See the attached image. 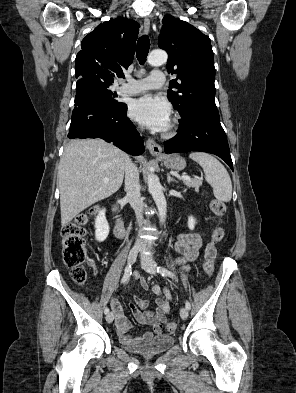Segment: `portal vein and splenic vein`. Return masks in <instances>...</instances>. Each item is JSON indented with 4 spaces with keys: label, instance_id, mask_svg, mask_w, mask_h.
I'll return each instance as SVG.
<instances>
[{
    "label": "portal vein and splenic vein",
    "instance_id": "1",
    "mask_svg": "<svg viewBox=\"0 0 296 393\" xmlns=\"http://www.w3.org/2000/svg\"><path fill=\"white\" fill-rule=\"evenodd\" d=\"M180 178H181V179H183V180H190V177H189V176H187V175H182ZM104 181H105V182H108V181H109V179H108V178H106Z\"/></svg>",
    "mask_w": 296,
    "mask_h": 393
}]
</instances>
